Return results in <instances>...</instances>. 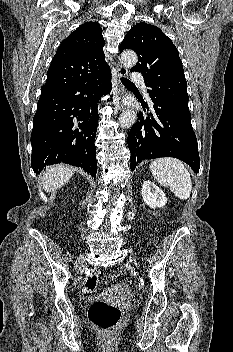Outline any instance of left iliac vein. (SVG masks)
Segmentation results:
<instances>
[{
  "label": "left iliac vein",
  "mask_w": 233,
  "mask_h": 352,
  "mask_svg": "<svg viewBox=\"0 0 233 352\" xmlns=\"http://www.w3.org/2000/svg\"><path fill=\"white\" fill-rule=\"evenodd\" d=\"M131 262H133V263L137 264V263H136V261H135V259H131Z\"/></svg>",
  "instance_id": "left-iliac-vein-1"
}]
</instances>
